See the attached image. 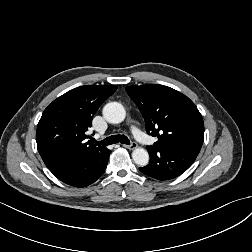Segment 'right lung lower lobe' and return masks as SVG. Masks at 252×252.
I'll use <instances>...</instances> for the list:
<instances>
[{
    "label": "right lung lower lobe",
    "mask_w": 252,
    "mask_h": 252,
    "mask_svg": "<svg viewBox=\"0 0 252 252\" xmlns=\"http://www.w3.org/2000/svg\"><path fill=\"white\" fill-rule=\"evenodd\" d=\"M110 153L111 151L107 149L100 154H80L60 161L49 170L68 185L85 187L104 173Z\"/></svg>",
    "instance_id": "1"
}]
</instances>
